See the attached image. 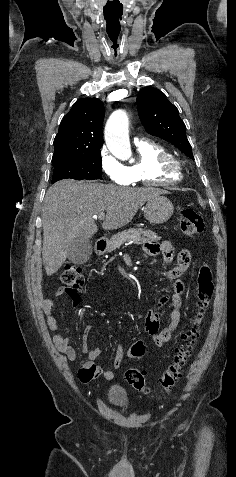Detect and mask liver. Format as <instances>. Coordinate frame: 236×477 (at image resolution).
Instances as JSON below:
<instances>
[{
  "mask_svg": "<svg viewBox=\"0 0 236 477\" xmlns=\"http://www.w3.org/2000/svg\"><path fill=\"white\" fill-rule=\"evenodd\" d=\"M167 193L153 187L128 188L75 180H62L51 186L42 210L46 274L53 275L63 265L74 239H89L97 233L94 215L106 211L102 228L115 230L131 222L145 202Z\"/></svg>",
  "mask_w": 236,
  "mask_h": 477,
  "instance_id": "liver-1",
  "label": "liver"
}]
</instances>
